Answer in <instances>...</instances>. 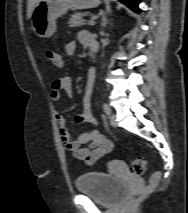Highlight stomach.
<instances>
[{
	"mask_svg": "<svg viewBox=\"0 0 188 213\" xmlns=\"http://www.w3.org/2000/svg\"><path fill=\"white\" fill-rule=\"evenodd\" d=\"M100 4V0H40L32 12V27L39 37H50L56 31V20L69 9H87Z\"/></svg>",
	"mask_w": 188,
	"mask_h": 213,
	"instance_id": "obj_1",
	"label": "stomach"
}]
</instances>
